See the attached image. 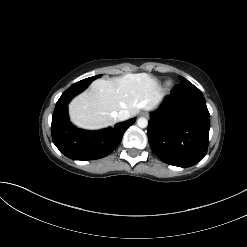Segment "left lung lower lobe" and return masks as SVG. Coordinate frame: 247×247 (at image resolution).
I'll return each mask as SVG.
<instances>
[{"instance_id": "1", "label": "left lung lower lobe", "mask_w": 247, "mask_h": 247, "mask_svg": "<svg viewBox=\"0 0 247 247\" xmlns=\"http://www.w3.org/2000/svg\"><path fill=\"white\" fill-rule=\"evenodd\" d=\"M209 128V111L202 92L190 82L181 83L151 114L149 144L163 162L190 167L206 155Z\"/></svg>"}]
</instances>
